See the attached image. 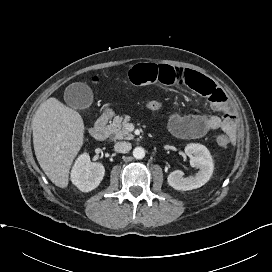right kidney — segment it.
<instances>
[{
    "label": "right kidney",
    "mask_w": 272,
    "mask_h": 272,
    "mask_svg": "<svg viewBox=\"0 0 272 272\" xmlns=\"http://www.w3.org/2000/svg\"><path fill=\"white\" fill-rule=\"evenodd\" d=\"M104 173L105 168L101 163L90 162L89 155L83 153L73 166L71 181L82 192H89L100 184Z\"/></svg>",
    "instance_id": "obj_1"
}]
</instances>
